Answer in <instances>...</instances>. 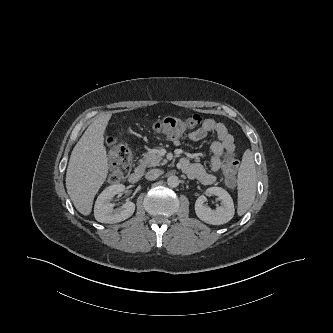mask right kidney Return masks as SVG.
Instances as JSON below:
<instances>
[{"label": "right kidney", "mask_w": 333, "mask_h": 333, "mask_svg": "<svg viewBox=\"0 0 333 333\" xmlns=\"http://www.w3.org/2000/svg\"><path fill=\"white\" fill-rule=\"evenodd\" d=\"M123 184H113L102 191L98 196L94 206V216L101 223H118L128 219L135 211L133 202H126L122 207L113 209L114 204L111 199L123 192Z\"/></svg>", "instance_id": "ca27d5eb"}]
</instances>
